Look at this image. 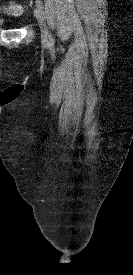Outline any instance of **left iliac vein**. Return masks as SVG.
I'll return each mask as SVG.
<instances>
[{
  "mask_svg": "<svg viewBox=\"0 0 133 275\" xmlns=\"http://www.w3.org/2000/svg\"><path fill=\"white\" fill-rule=\"evenodd\" d=\"M34 16L40 25L42 41L44 43L49 42L50 41V33L48 30L47 24L45 22L44 13L40 7H38V6L35 7Z\"/></svg>",
  "mask_w": 133,
  "mask_h": 275,
  "instance_id": "obj_1",
  "label": "left iliac vein"
}]
</instances>
